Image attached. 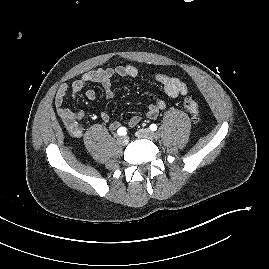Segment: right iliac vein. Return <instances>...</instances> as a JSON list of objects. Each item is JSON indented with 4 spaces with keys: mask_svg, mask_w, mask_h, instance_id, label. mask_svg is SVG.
Instances as JSON below:
<instances>
[{
    "mask_svg": "<svg viewBox=\"0 0 269 269\" xmlns=\"http://www.w3.org/2000/svg\"><path fill=\"white\" fill-rule=\"evenodd\" d=\"M118 142L121 145H127L129 142V138L127 136H121L120 138H118Z\"/></svg>",
    "mask_w": 269,
    "mask_h": 269,
    "instance_id": "1",
    "label": "right iliac vein"
}]
</instances>
